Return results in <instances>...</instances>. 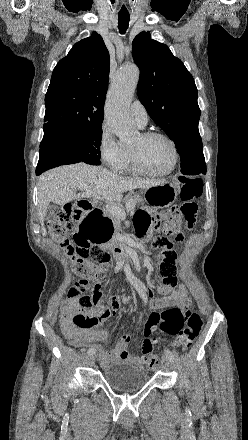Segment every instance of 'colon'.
I'll list each match as a JSON object with an SVG mask.
<instances>
[{
    "label": "colon",
    "instance_id": "colon-1",
    "mask_svg": "<svg viewBox=\"0 0 248 440\" xmlns=\"http://www.w3.org/2000/svg\"><path fill=\"white\" fill-rule=\"evenodd\" d=\"M180 182L182 204L178 216L167 224L162 234L153 239V247L158 250L160 257L177 259L174 243L183 239V228L192 227L196 221L198 208L194 200L201 195V181L182 176ZM76 218H84V211L75 205L66 204L49 221L48 229L53 240L70 257L72 269L80 277L69 289L68 301L81 310H86L99 302L98 281L104 277L103 273L108 269L110 256L101 246L88 241H75L74 244L70 241ZM72 321L78 327L91 324L90 318L82 312L75 313ZM201 327L202 319L198 314L176 306L151 313L144 324L145 339L141 344L147 366L154 367L157 363V357L153 354L154 340L150 338L152 333L159 330L166 335L174 336L173 345L186 350L198 336Z\"/></svg>",
    "mask_w": 248,
    "mask_h": 440
}]
</instances>
